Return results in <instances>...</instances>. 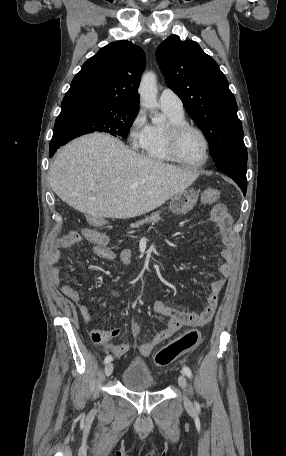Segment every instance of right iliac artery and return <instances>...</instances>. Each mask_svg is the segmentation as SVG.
I'll list each match as a JSON object with an SVG mask.
<instances>
[{"label":"right iliac artery","mask_w":286,"mask_h":456,"mask_svg":"<svg viewBox=\"0 0 286 456\" xmlns=\"http://www.w3.org/2000/svg\"><path fill=\"white\" fill-rule=\"evenodd\" d=\"M111 361H112V356L108 355V356L105 357L104 363L107 364V363H109Z\"/></svg>","instance_id":"1"}]
</instances>
